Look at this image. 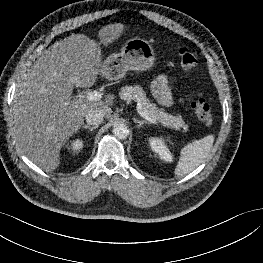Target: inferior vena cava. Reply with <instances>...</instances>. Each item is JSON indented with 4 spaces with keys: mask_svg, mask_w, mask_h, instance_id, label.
I'll list each match as a JSON object with an SVG mask.
<instances>
[{
    "mask_svg": "<svg viewBox=\"0 0 263 263\" xmlns=\"http://www.w3.org/2000/svg\"><path fill=\"white\" fill-rule=\"evenodd\" d=\"M85 119L89 125L98 126L103 122L104 113L99 109H92L86 114Z\"/></svg>",
    "mask_w": 263,
    "mask_h": 263,
    "instance_id": "inferior-vena-cava-1",
    "label": "inferior vena cava"
}]
</instances>
